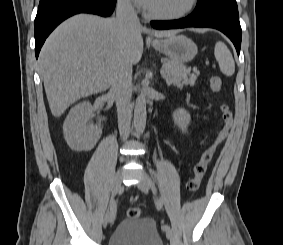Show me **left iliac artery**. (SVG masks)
I'll return each instance as SVG.
<instances>
[{
    "instance_id": "left-iliac-artery-1",
    "label": "left iliac artery",
    "mask_w": 283,
    "mask_h": 245,
    "mask_svg": "<svg viewBox=\"0 0 283 245\" xmlns=\"http://www.w3.org/2000/svg\"><path fill=\"white\" fill-rule=\"evenodd\" d=\"M150 173L152 174V176H154L156 178V173L152 168H149ZM154 186V182L152 183ZM163 206V200L162 198H159L157 201V209L160 210ZM161 228L163 231H169L170 230V226L168 224H162Z\"/></svg>"
}]
</instances>
